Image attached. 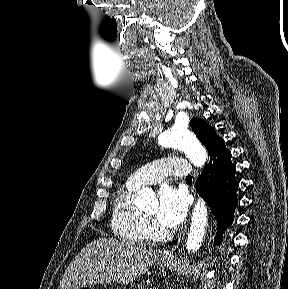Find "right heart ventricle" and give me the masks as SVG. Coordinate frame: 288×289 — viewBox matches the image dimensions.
I'll return each mask as SVG.
<instances>
[{"mask_svg": "<svg viewBox=\"0 0 288 289\" xmlns=\"http://www.w3.org/2000/svg\"><path fill=\"white\" fill-rule=\"evenodd\" d=\"M140 187L127 182L115 195L111 227L123 241L143 244L147 241L145 216L134 203L135 193Z\"/></svg>", "mask_w": 288, "mask_h": 289, "instance_id": "obj_1", "label": "right heart ventricle"}]
</instances>
